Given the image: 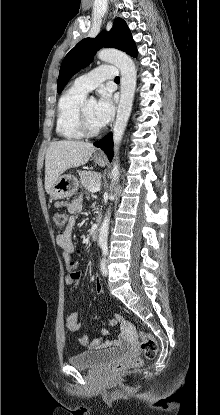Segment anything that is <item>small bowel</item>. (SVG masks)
Here are the masks:
<instances>
[{"label":"small bowel","mask_w":220,"mask_h":415,"mask_svg":"<svg viewBox=\"0 0 220 415\" xmlns=\"http://www.w3.org/2000/svg\"><path fill=\"white\" fill-rule=\"evenodd\" d=\"M83 205H82V198L78 197L74 199L68 206V211L71 214L68 225L66 229L57 235L56 241L60 248L63 250L64 254L68 257L72 254L74 250V246L72 243V232L77 221L78 216L82 213ZM69 270L74 272L77 270L76 265L71 266L69 265ZM69 284L72 288H76L78 286V280H74L72 278L68 279ZM94 286L98 293H103V284L99 278L94 280ZM67 328L71 332H76L80 329V324L78 322V315L76 313H71L67 317ZM108 335V330L105 328L100 329L99 337L92 342L89 341L86 335H79L77 340L79 344L87 347L90 350H99V349H106L113 346H118L121 344L120 340H107L106 337Z\"/></svg>","instance_id":"obj_1"}]
</instances>
